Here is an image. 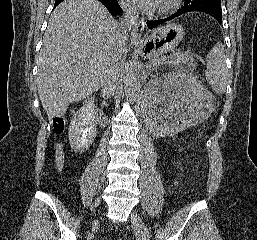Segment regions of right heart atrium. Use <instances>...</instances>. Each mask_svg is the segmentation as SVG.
Listing matches in <instances>:
<instances>
[{
  "mask_svg": "<svg viewBox=\"0 0 257 240\" xmlns=\"http://www.w3.org/2000/svg\"><path fill=\"white\" fill-rule=\"evenodd\" d=\"M122 6L125 9V11L128 12L129 14H133L134 13V8H133V6L130 3L123 2Z\"/></svg>",
  "mask_w": 257,
  "mask_h": 240,
  "instance_id": "1",
  "label": "right heart atrium"
}]
</instances>
